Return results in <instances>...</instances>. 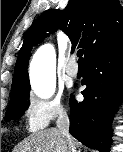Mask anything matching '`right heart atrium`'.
Segmentation results:
<instances>
[{
  "label": "right heart atrium",
  "mask_w": 123,
  "mask_h": 152,
  "mask_svg": "<svg viewBox=\"0 0 123 152\" xmlns=\"http://www.w3.org/2000/svg\"><path fill=\"white\" fill-rule=\"evenodd\" d=\"M66 114L60 97L51 99L30 97L23 112L26 125L33 132L47 128L54 121L64 118Z\"/></svg>",
  "instance_id": "1"
}]
</instances>
